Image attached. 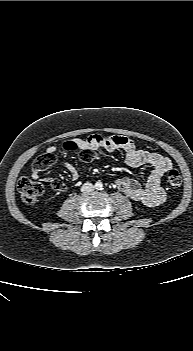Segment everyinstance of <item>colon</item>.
I'll return each mask as SVG.
<instances>
[{"mask_svg":"<svg viewBox=\"0 0 193 351\" xmlns=\"http://www.w3.org/2000/svg\"><path fill=\"white\" fill-rule=\"evenodd\" d=\"M95 156L94 151L91 148L82 149L79 152V157L82 161L90 162ZM56 162L55 152H45L40 155L34 162V169L41 171L52 166ZM182 182L181 174L176 169H171L167 176L168 186L172 189L180 187ZM52 187L56 190L63 191L65 189L64 184L60 180H54ZM18 190L21 199L24 203L32 205L37 202L40 196L43 194V187L41 184L34 182L28 178H22L18 182Z\"/></svg>","mask_w":193,"mask_h":351,"instance_id":"obj_1","label":"colon"}]
</instances>
